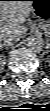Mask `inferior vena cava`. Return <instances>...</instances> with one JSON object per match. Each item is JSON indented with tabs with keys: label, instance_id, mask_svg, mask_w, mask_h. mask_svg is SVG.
I'll list each match as a JSON object with an SVG mask.
<instances>
[{
	"label": "inferior vena cava",
	"instance_id": "602c4592",
	"mask_svg": "<svg viewBox=\"0 0 50 111\" xmlns=\"http://www.w3.org/2000/svg\"><path fill=\"white\" fill-rule=\"evenodd\" d=\"M20 33H7L2 35L1 40L9 45H12L15 42H18L20 40Z\"/></svg>",
	"mask_w": 50,
	"mask_h": 111
}]
</instances>
